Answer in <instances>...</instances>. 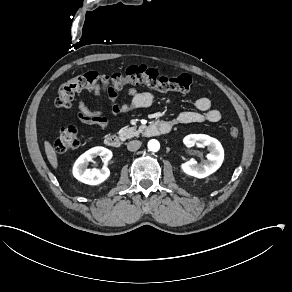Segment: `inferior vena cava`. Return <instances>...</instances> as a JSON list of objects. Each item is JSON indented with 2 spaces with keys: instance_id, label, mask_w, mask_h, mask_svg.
Wrapping results in <instances>:
<instances>
[{
  "instance_id": "obj_1",
  "label": "inferior vena cava",
  "mask_w": 292,
  "mask_h": 292,
  "mask_svg": "<svg viewBox=\"0 0 292 292\" xmlns=\"http://www.w3.org/2000/svg\"><path fill=\"white\" fill-rule=\"evenodd\" d=\"M140 147H141V142L138 141V140L130 141V142L127 144V149H128L129 151H137Z\"/></svg>"
}]
</instances>
